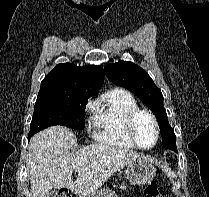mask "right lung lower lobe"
<instances>
[{
  "instance_id": "right-lung-lower-lobe-1",
  "label": "right lung lower lobe",
  "mask_w": 209,
  "mask_h": 197,
  "mask_svg": "<svg viewBox=\"0 0 209 197\" xmlns=\"http://www.w3.org/2000/svg\"><path fill=\"white\" fill-rule=\"evenodd\" d=\"M32 135L31 134H29V138H28V140H30V137H31Z\"/></svg>"
}]
</instances>
